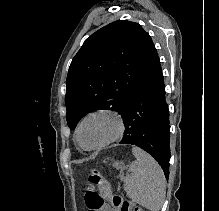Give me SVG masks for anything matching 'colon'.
I'll list each match as a JSON object with an SVG mask.
<instances>
[{
    "label": "colon",
    "mask_w": 219,
    "mask_h": 211,
    "mask_svg": "<svg viewBox=\"0 0 219 211\" xmlns=\"http://www.w3.org/2000/svg\"><path fill=\"white\" fill-rule=\"evenodd\" d=\"M88 182L99 188L101 195L108 200L111 207L116 211H140L139 208L132 206V204L122 196L112 194L110 182L106 180L97 169H92L89 172Z\"/></svg>",
    "instance_id": "5ec220e1"
}]
</instances>
